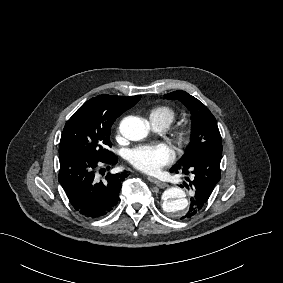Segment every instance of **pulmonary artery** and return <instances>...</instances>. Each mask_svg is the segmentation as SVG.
I'll use <instances>...</instances> for the list:
<instances>
[{
	"mask_svg": "<svg viewBox=\"0 0 283 283\" xmlns=\"http://www.w3.org/2000/svg\"><path fill=\"white\" fill-rule=\"evenodd\" d=\"M151 124H152V126H153L155 129H157V130H162V129H164L163 126H159V125H156V124H154V123H151Z\"/></svg>",
	"mask_w": 283,
	"mask_h": 283,
	"instance_id": "pulmonary-artery-1",
	"label": "pulmonary artery"
}]
</instances>
